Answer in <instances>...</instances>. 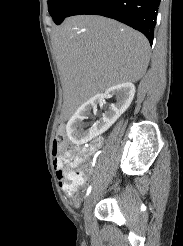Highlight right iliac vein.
<instances>
[{
    "mask_svg": "<svg viewBox=\"0 0 183 246\" xmlns=\"http://www.w3.org/2000/svg\"><path fill=\"white\" fill-rule=\"evenodd\" d=\"M92 200H93V193L88 197L84 208V221H85L86 228H89L91 226Z\"/></svg>",
    "mask_w": 183,
    "mask_h": 246,
    "instance_id": "1",
    "label": "right iliac vein"
}]
</instances>
